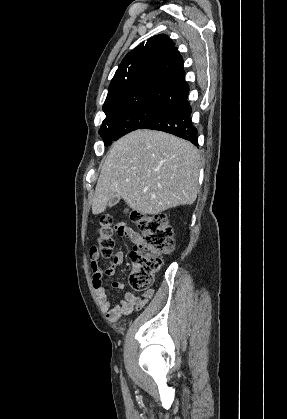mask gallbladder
Segmentation results:
<instances>
[{
	"label": "gallbladder",
	"mask_w": 287,
	"mask_h": 419,
	"mask_svg": "<svg viewBox=\"0 0 287 419\" xmlns=\"http://www.w3.org/2000/svg\"><path fill=\"white\" fill-rule=\"evenodd\" d=\"M120 199H121V197H120V196L115 195V196H114V197H112V198H111V200L109 201L108 206H109L110 208H111V207H114L115 205H117V204L119 203Z\"/></svg>",
	"instance_id": "gallbladder-1"
}]
</instances>
